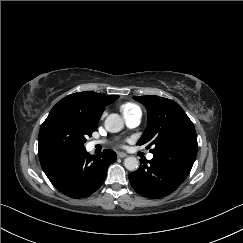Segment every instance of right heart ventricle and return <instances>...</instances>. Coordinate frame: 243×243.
Instances as JSON below:
<instances>
[{
  "instance_id": "right-heart-ventricle-1",
  "label": "right heart ventricle",
  "mask_w": 243,
  "mask_h": 243,
  "mask_svg": "<svg viewBox=\"0 0 243 243\" xmlns=\"http://www.w3.org/2000/svg\"><path fill=\"white\" fill-rule=\"evenodd\" d=\"M139 108L136 104L133 103H126L124 105H122L121 107V111L123 116L129 112H132L133 110Z\"/></svg>"
}]
</instances>
